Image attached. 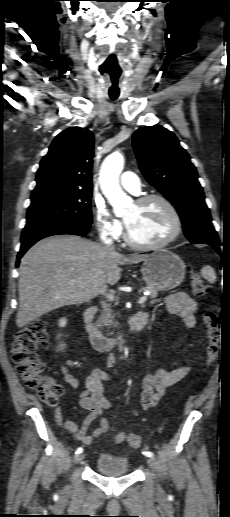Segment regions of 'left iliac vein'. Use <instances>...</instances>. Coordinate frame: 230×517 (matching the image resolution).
I'll return each instance as SVG.
<instances>
[{
  "instance_id": "4c4485c4",
  "label": "left iliac vein",
  "mask_w": 230,
  "mask_h": 517,
  "mask_svg": "<svg viewBox=\"0 0 230 517\" xmlns=\"http://www.w3.org/2000/svg\"><path fill=\"white\" fill-rule=\"evenodd\" d=\"M147 462H148V465L150 466V468H151L154 472H156V471H157V462H156V460H155L153 457H149V458L147 459ZM157 489H158L159 491H161V488H160V486H159V485H157Z\"/></svg>"
}]
</instances>
